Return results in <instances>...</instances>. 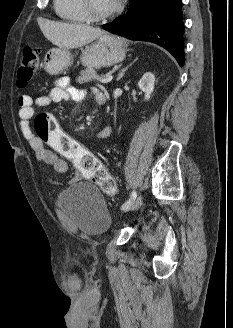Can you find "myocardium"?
<instances>
[{
	"label": "myocardium",
	"instance_id": "f54148a6",
	"mask_svg": "<svg viewBox=\"0 0 233 328\" xmlns=\"http://www.w3.org/2000/svg\"><path fill=\"white\" fill-rule=\"evenodd\" d=\"M80 3L87 20L94 21V22L104 21L109 18H112L115 15L119 14L123 8L122 3L118 0L115 7L110 11L105 13H95L90 7L89 0H80Z\"/></svg>",
	"mask_w": 233,
	"mask_h": 328
}]
</instances>
